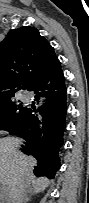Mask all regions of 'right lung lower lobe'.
<instances>
[{
	"mask_svg": "<svg viewBox=\"0 0 89 203\" xmlns=\"http://www.w3.org/2000/svg\"><path fill=\"white\" fill-rule=\"evenodd\" d=\"M34 91L39 107L27 108L11 134L26 140L21 151L33 155L38 164L36 176L55 177L60 168L58 152L66 127V87L60 65L41 76L29 89Z\"/></svg>",
	"mask_w": 89,
	"mask_h": 203,
	"instance_id": "obj_1",
	"label": "right lung lower lobe"
}]
</instances>
